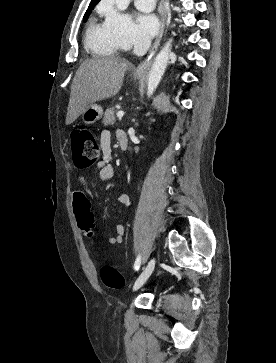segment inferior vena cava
<instances>
[{
	"label": "inferior vena cava",
	"mask_w": 276,
	"mask_h": 363,
	"mask_svg": "<svg viewBox=\"0 0 276 363\" xmlns=\"http://www.w3.org/2000/svg\"><path fill=\"white\" fill-rule=\"evenodd\" d=\"M151 45V38L148 35H142L136 38L134 43V54L137 56H143L147 53Z\"/></svg>",
	"instance_id": "1"
}]
</instances>
